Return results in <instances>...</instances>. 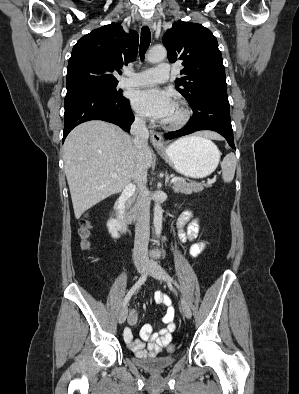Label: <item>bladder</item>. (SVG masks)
Returning a JSON list of instances; mask_svg holds the SVG:
<instances>
[{
  "mask_svg": "<svg viewBox=\"0 0 299 394\" xmlns=\"http://www.w3.org/2000/svg\"><path fill=\"white\" fill-rule=\"evenodd\" d=\"M175 361H176L175 355H165V356L150 357V358H140V357L134 358V363L138 367L152 374L163 372L164 370L173 366Z\"/></svg>",
  "mask_w": 299,
  "mask_h": 394,
  "instance_id": "1",
  "label": "bladder"
}]
</instances>
